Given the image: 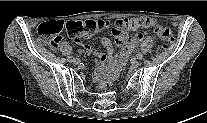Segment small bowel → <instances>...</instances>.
<instances>
[{
	"label": "small bowel",
	"instance_id": "obj_1",
	"mask_svg": "<svg viewBox=\"0 0 207 123\" xmlns=\"http://www.w3.org/2000/svg\"><path fill=\"white\" fill-rule=\"evenodd\" d=\"M113 33L115 35L116 44L123 48L119 57H128V55L138 46V44L147 37L146 32H138L130 36L125 30H122L115 26L113 28ZM77 44L81 46L86 54H96V51L89 45L84 44L82 41H77ZM102 46L106 49L107 53L101 55L100 59L103 63H110L113 61L114 44L112 40L108 37H103L101 39ZM117 58V59H118Z\"/></svg>",
	"mask_w": 207,
	"mask_h": 123
}]
</instances>
